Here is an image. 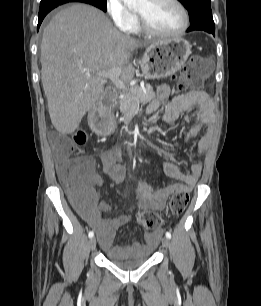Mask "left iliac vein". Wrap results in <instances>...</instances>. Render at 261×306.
Segmentation results:
<instances>
[{
    "label": "left iliac vein",
    "mask_w": 261,
    "mask_h": 306,
    "mask_svg": "<svg viewBox=\"0 0 261 306\" xmlns=\"http://www.w3.org/2000/svg\"><path fill=\"white\" fill-rule=\"evenodd\" d=\"M162 245L165 247V248H168L170 246V240L167 238V237H163L162 238Z\"/></svg>",
    "instance_id": "4c4485c4"
}]
</instances>
